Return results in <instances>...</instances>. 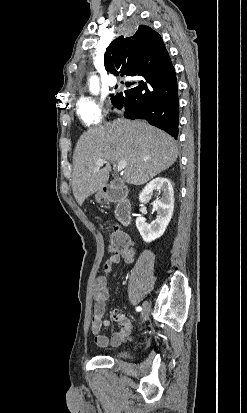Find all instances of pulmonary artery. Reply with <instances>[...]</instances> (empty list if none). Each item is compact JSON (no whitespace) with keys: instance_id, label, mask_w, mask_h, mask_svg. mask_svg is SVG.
Masks as SVG:
<instances>
[{"instance_id":"obj_1","label":"pulmonary artery","mask_w":247,"mask_h":413,"mask_svg":"<svg viewBox=\"0 0 247 413\" xmlns=\"http://www.w3.org/2000/svg\"><path fill=\"white\" fill-rule=\"evenodd\" d=\"M121 81L122 79L120 77L111 75L109 78V85L111 87H118V89L120 90L122 85H121Z\"/></svg>"}]
</instances>
